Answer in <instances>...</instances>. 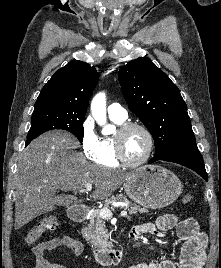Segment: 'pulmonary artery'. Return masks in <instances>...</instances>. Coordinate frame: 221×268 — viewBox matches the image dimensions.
<instances>
[{"mask_svg": "<svg viewBox=\"0 0 221 268\" xmlns=\"http://www.w3.org/2000/svg\"><path fill=\"white\" fill-rule=\"evenodd\" d=\"M108 115L111 119L123 122L127 119V111L119 103H112L107 109Z\"/></svg>", "mask_w": 221, "mask_h": 268, "instance_id": "obj_1", "label": "pulmonary artery"}]
</instances>
